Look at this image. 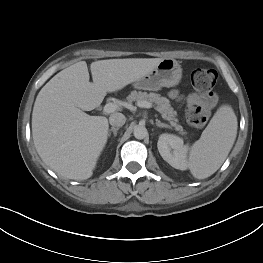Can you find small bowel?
<instances>
[{"mask_svg": "<svg viewBox=\"0 0 263 263\" xmlns=\"http://www.w3.org/2000/svg\"><path fill=\"white\" fill-rule=\"evenodd\" d=\"M170 95L172 98H179V94L176 91H172ZM200 100H201L200 97L196 94H191L186 98V102L188 105H192L194 103H197Z\"/></svg>", "mask_w": 263, "mask_h": 263, "instance_id": "1", "label": "small bowel"}]
</instances>
